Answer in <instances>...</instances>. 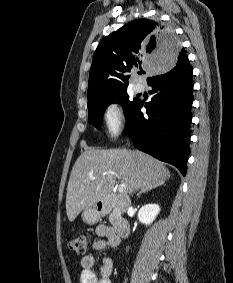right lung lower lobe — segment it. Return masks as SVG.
<instances>
[{"label": "right lung lower lobe", "instance_id": "right-lung-lower-lobe-1", "mask_svg": "<svg viewBox=\"0 0 233 283\" xmlns=\"http://www.w3.org/2000/svg\"><path fill=\"white\" fill-rule=\"evenodd\" d=\"M151 102L138 100L126 120L127 132L137 148L176 166L185 176L189 152L192 68L184 56L171 70H161L148 82Z\"/></svg>", "mask_w": 233, "mask_h": 283}]
</instances>
